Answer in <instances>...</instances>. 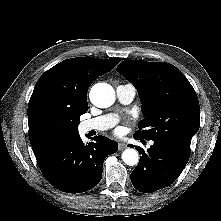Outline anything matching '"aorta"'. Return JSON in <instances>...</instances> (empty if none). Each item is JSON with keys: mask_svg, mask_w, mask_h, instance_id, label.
<instances>
[{"mask_svg": "<svg viewBox=\"0 0 221 221\" xmlns=\"http://www.w3.org/2000/svg\"><path fill=\"white\" fill-rule=\"evenodd\" d=\"M89 97L95 106L107 108L115 101V91L113 87L107 83H97L92 86ZM122 160L129 166L137 165L139 162V154L137 150L127 148L122 153Z\"/></svg>", "mask_w": 221, "mask_h": 221, "instance_id": "762f6f07", "label": "aorta"}]
</instances>
